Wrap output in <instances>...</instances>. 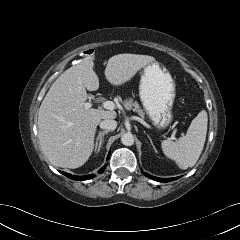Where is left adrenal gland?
<instances>
[{
	"label": "left adrenal gland",
	"instance_id": "left-adrenal-gland-1",
	"mask_svg": "<svg viewBox=\"0 0 240 240\" xmlns=\"http://www.w3.org/2000/svg\"><path fill=\"white\" fill-rule=\"evenodd\" d=\"M147 137H148V139L150 140V143H151L153 149L155 150V152H157L156 147L154 146L151 137H150L148 134H147Z\"/></svg>",
	"mask_w": 240,
	"mask_h": 240
}]
</instances>
